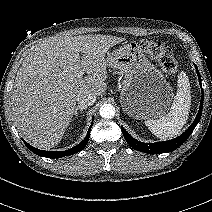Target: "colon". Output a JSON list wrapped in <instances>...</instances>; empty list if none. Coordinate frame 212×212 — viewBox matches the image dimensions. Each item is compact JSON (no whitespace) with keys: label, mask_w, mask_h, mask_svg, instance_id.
Instances as JSON below:
<instances>
[{"label":"colon","mask_w":212,"mask_h":212,"mask_svg":"<svg viewBox=\"0 0 212 212\" xmlns=\"http://www.w3.org/2000/svg\"><path fill=\"white\" fill-rule=\"evenodd\" d=\"M140 50L156 60L162 70L169 76L175 75L178 62L172 50L159 42L144 40L139 43Z\"/></svg>","instance_id":"1"}]
</instances>
